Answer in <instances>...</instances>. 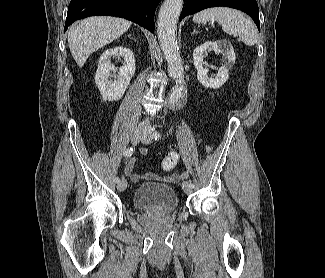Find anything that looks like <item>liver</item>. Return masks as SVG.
Returning a JSON list of instances; mask_svg holds the SVG:
<instances>
[{
    "instance_id": "obj_1",
    "label": "liver",
    "mask_w": 325,
    "mask_h": 278,
    "mask_svg": "<svg viewBox=\"0 0 325 278\" xmlns=\"http://www.w3.org/2000/svg\"><path fill=\"white\" fill-rule=\"evenodd\" d=\"M131 24L123 18L95 16L71 27L68 45L76 63L82 67L90 54L121 36Z\"/></svg>"
}]
</instances>
